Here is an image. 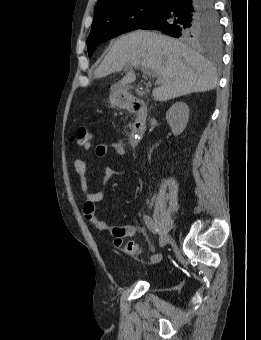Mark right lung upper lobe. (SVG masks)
Segmentation results:
<instances>
[{
    "instance_id": "obj_1",
    "label": "right lung upper lobe",
    "mask_w": 261,
    "mask_h": 340,
    "mask_svg": "<svg viewBox=\"0 0 261 340\" xmlns=\"http://www.w3.org/2000/svg\"><path fill=\"white\" fill-rule=\"evenodd\" d=\"M147 1V0H98L94 10V20L99 18L105 12L114 8L129 5L134 2Z\"/></svg>"
}]
</instances>
